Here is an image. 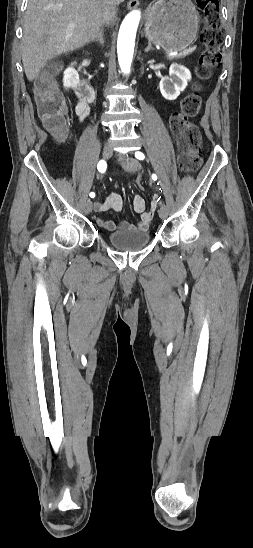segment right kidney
Segmentation results:
<instances>
[{"instance_id": "right-kidney-1", "label": "right kidney", "mask_w": 253, "mask_h": 548, "mask_svg": "<svg viewBox=\"0 0 253 548\" xmlns=\"http://www.w3.org/2000/svg\"><path fill=\"white\" fill-rule=\"evenodd\" d=\"M79 83V75L78 72L73 67H68L64 71V77H63V86L65 88H71L76 86Z\"/></svg>"}]
</instances>
